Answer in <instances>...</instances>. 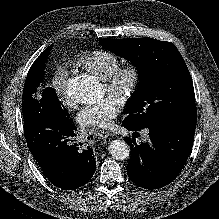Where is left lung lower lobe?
<instances>
[{
    "mask_svg": "<svg viewBox=\"0 0 219 219\" xmlns=\"http://www.w3.org/2000/svg\"><path fill=\"white\" fill-rule=\"evenodd\" d=\"M129 131H139L127 122ZM196 120L161 128H148L150 140L137 145L130 137L131 158L127 173L132 182L145 189H159L171 183L183 169L193 146ZM136 133V132H135Z\"/></svg>",
    "mask_w": 219,
    "mask_h": 219,
    "instance_id": "obj_1",
    "label": "left lung lower lobe"
}]
</instances>
